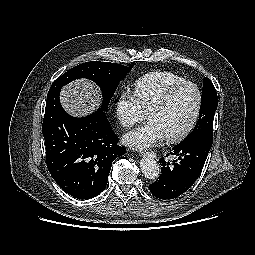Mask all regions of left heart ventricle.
Wrapping results in <instances>:
<instances>
[{
    "mask_svg": "<svg viewBox=\"0 0 255 255\" xmlns=\"http://www.w3.org/2000/svg\"><path fill=\"white\" fill-rule=\"evenodd\" d=\"M197 92L192 86H185L175 92L168 104L151 113L148 121L156 122L165 137L180 133L189 124L196 108Z\"/></svg>",
    "mask_w": 255,
    "mask_h": 255,
    "instance_id": "obj_1",
    "label": "left heart ventricle"
}]
</instances>
